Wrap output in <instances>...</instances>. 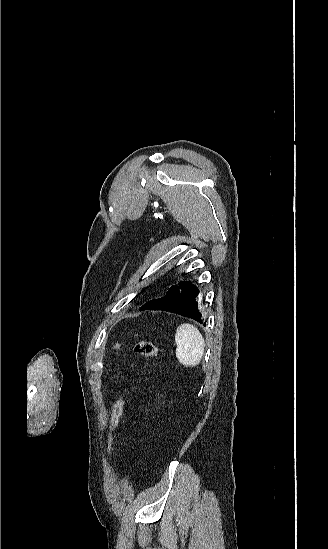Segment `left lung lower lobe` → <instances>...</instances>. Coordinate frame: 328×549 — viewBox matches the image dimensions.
<instances>
[{
	"mask_svg": "<svg viewBox=\"0 0 328 549\" xmlns=\"http://www.w3.org/2000/svg\"><path fill=\"white\" fill-rule=\"evenodd\" d=\"M176 298L159 300L141 307V310H161L192 318L202 323L198 309L199 290L190 281L180 282Z\"/></svg>",
	"mask_w": 328,
	"mask_h": 549,
	"instance_id": "0a47b994",
	"label": "left lung lower lobe"
}]
</instances>
